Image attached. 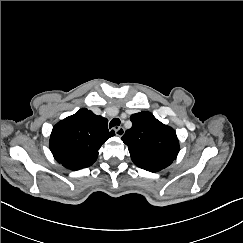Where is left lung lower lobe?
<instances>
[{
	"label": "left lung lower lobe",
	"instance_id": "left-lung-lower-lobe-1",
	"mask_svg": "<svg viewBox=\"0 0 243 243\" xmlns=\"http://www.w3.org/2000/svg\"><path fill=\"white\" fill-rule=\"evenodd\" d=\"M148 171H151V172H156V171H159L157 169H147Z\"/></svg>",
	"mask_w": 243,
	"mask_h": 243
}]
</instances>
